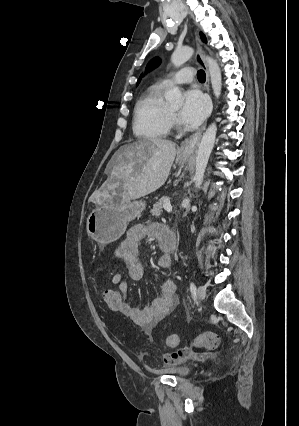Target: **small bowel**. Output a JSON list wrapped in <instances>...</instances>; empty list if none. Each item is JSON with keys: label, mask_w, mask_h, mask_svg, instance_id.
I'll return each mask as SVG.
<instances>
[{"label": "small bowel", "mask_w": 299, "mask_h": 426, "mask_svg": "<svg viewBox=\"0 0 299 426\" xmlns=\"http://www.w3.org/2000/svg\"><path fill=\"white\" fill-rule=\"evenodd\" d=\"M164 226L151 224L149 226L135 225L129 229L126 237L118 244L115 254L122 260L126 267L125 272L116 273L111 282L117 286L124 295V302L120 313L129 317L136 325L142 327L146 333H150L154 326L168 316L177 305L176 284L172 280H166L161 285L160 295L152 303L143 309L132 307L127 302L128 283L127 278L140 280L143 276V267L139 261V243L146 237L161 240ZM157 264L160 268L167 269L171 267L172 260L169 255L159 257ZM190 352L179 350L177 352L166 354L164 361L167 365L181 363L190 358Z\"/></svg>", "instance_id": "1"}]
</instances>
